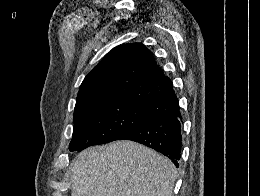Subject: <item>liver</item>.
Returning <instances> with one entry per match:
<instances>
[{"label":"liver","instance_id":"1","mask_svg":"<svg viewBox=\"0 0 260 196\" xmlns=\"http://www.w3.org/2000/svg\"><path fill=\"white\" fill-rule=\"evenodd\" d=\"M71 196H173L176 168L130 140L92 146L71 164Z\"/></svg>","mask_w":260,"mask_h":196}]
</instances>
